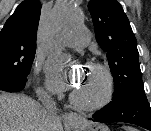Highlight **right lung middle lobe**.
Masks as SVG:
<instances>
[{
    "label": "right lung middle lobe",
    "mask_w": 151,
    "mask_h": 131,
    "mask_svg": "<svg viewBox=\"0 0 151 131\" xmlns=\"http://www.w3.org/2000/svg\"><path fill=\"white\" fill-rule=\"evenodd\" d=\"M36 49L12 42L0 46V90L18 92L25 88Z\"/></svg>",
    "instance_id": "1"
}]
</instances>
